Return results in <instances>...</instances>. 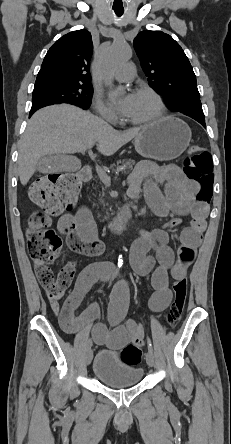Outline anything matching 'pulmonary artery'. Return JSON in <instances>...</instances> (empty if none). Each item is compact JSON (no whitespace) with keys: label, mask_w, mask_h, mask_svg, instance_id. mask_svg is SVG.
<instances>
[{"label":"pulmonary artery","mask_w":231,"mask_h":444,"mask_svg":"<svg viewBox=\"0 0 231 444\" xmlns=\"http://www.w3.org/2000/svg\"><path fill=\"white\" fill-rule=\"evenodd\" d=\"M136 75L135 66L133 63L122 64L115 72L114 78L119 82H129L134 79Z\"/></svg>","instance_id":"1"}]
</instances>
